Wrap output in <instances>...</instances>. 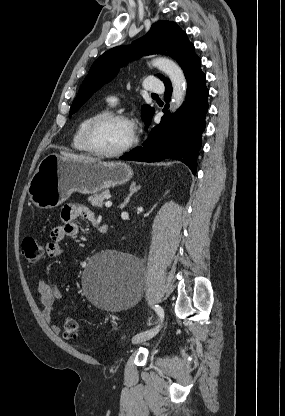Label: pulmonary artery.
Listing matches in <instances>:
<instances>
[{"label": "pulmonary artery", "mask_w": 285, "mask_h": 416, "mask_svg": "<svg viewBox=\"0 0 285 416\" xmlns=\"http://www.w3.org/2000/svg\"><path fill=\"white\" fill-rule=\"evenodd\" d=\"M151 80H154L152 76L147 77L144 81V87L147 90H149V94L151 96H158L160 94V91L163 90V86L159 83H151ZM112 100L113 101H118L119 100V95L118 94H113L112 95ZM112 100H109V102L113 103Z\"/></svg>", "instance_id": "1"}]
</instances>
